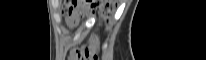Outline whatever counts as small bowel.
<instances>
[{
	"mask_svg": "<svg viewBox=\"0 0 206 60\" xmlns=\"http://www.w3.org/2000/svg\"><path fill=\"white\" fill-rule=\"evenodd\" d=\"M70 60H78V58H77L75 52H73V53L71 54V56H70Z\"/></svg>",
	"mask_w": 206,
	"mask_h": 60,
	"instance_id": "obj_1",
	"label": "small bowel"
}]
</instances>
